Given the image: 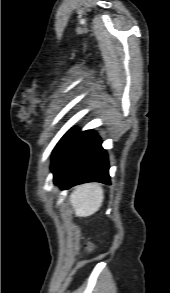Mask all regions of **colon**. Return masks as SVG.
<instances>
[{
  "instance_id": "5ec220e1",
  "label": "colon",
  "mask_w": 170,
  "mask_h": 293,
  "mask_svg": "<svg viewBox=\"0 0 170 293\" xmlns=\"http://www.w3.org/2000/svg\"><path fill=\"white\" fill-rule=\"evenodd\" d=\"M92 248H93V245L91 242L88 241L84 244V249L87 254H90V252L92 251Z\"/></svg>"
}]
</instances>
